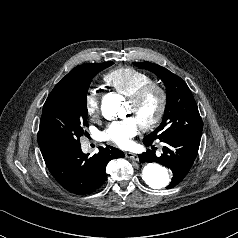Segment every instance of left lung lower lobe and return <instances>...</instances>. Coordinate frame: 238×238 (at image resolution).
<instances>
[{"mask_svg": "<svg viewBox=\"0 0 238 238\" xmlns=\"http://www.w3.org/2000/svg\"><path fill=\"white\" fill-rule=\"evenodd\" d=\"M201 136L192 134L172 135L159 139L163 144V153L157 157L152 150L139 155L141 162H157L172 172V181L167 188L179 184L191 169L197 156ZM146 146L152 145V141L143 139Z\"/></svg>", "mask_w": 238, "mask_h": 238, "instance_id": "0a47b994", "label": "left lung lower lobe"}]
</instances>
